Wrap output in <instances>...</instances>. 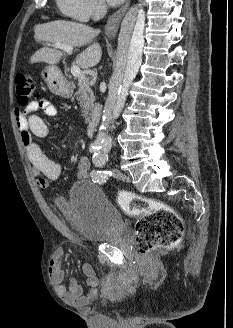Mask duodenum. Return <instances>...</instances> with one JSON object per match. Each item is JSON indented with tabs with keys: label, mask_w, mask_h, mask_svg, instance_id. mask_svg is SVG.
Segmentation results:
<instances>
[{
	"label": "duodenum",
	"mask_w": 233,
	"mask_h": 328,
	"mask_svg": "<svg viewBox=\"0 0 233 328\" xmlns=\"http://www.w3.org/2000/svg\"><path fill=\"white\" fill-rule=\"evenodd\" d=\"M96 123H97V111H95L92 116H91V119H90V122H89V130L91 132L94 131V128L96 126Z\"/></svg>",
	"instance_id": "duodenum-1"
}]
</instances>
